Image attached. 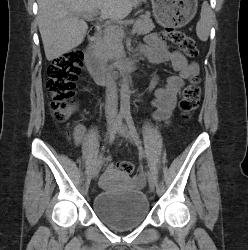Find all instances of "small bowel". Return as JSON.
<instances>
[{"mask_svg":"<svg viewBox=\"0 0 248 250\" xmlns=\"http://www.w3.org/2000/svg\"><path fill=\"white\" fill-rule=\"evenodd\" d=\"M140 52L151 63L169 62L179 73L168 77L166 84L154 91V99L151 102L155 119L169 123L181 88L187 80L198 75L199 66L196 62L187 59L180 51L169 50L166 41L156 33L147 36ZM73 134L75 142L82 144L86 136L84 125L76 124Z\"/></svg>","mask_w":248,"mask_h":250,"instance_id":"c3829d8e","label":"small bowel"}]
</instances>
